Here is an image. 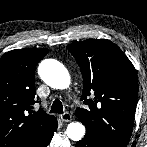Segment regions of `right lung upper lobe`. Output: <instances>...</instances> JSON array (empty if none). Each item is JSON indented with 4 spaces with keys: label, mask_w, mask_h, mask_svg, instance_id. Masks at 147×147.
Returning a JSON list of instances; mask_svg holds the SVG:
<instances>
[{
    "label": "right lung upper lobe",
    "mask_w": 147,
    "mask_h": 147,
    "mask_svg": "<svg viewBox=\"0 0 147 147\" xmlns=\"http://www.w3.org/2000/svg\"><path fill=\"white\" fill-rule=\"evenodd\" d=\"M48 49H17L0 58V147H29L43 139L56 118L33 111L35 68Z\"/></svg>",
    "instance_id": "cb5924a9"
}]
</instances>
